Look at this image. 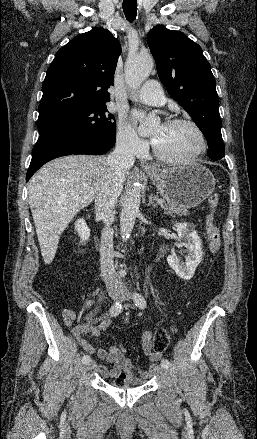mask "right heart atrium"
Here are the masks:
<instances>
[{
    "label": "right heart atrium",
    "mask_w": 257,
    "mask_h": 439,
    "mask_svg": "<svg viewBox=\"0 0 257 439\" xmlns=\"http://www.w3.org/2000/svg\"><path fill=\"white\" fill-rule=\"evenodd\" d=\"M116 146L127 156H140L145 153L147 142L138 136L132 124L121 119L116 130Z\"/></svg>",
    "instance_id": "right-heart-atrium-1"
}]
</instances>
